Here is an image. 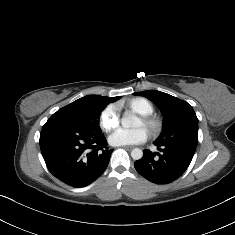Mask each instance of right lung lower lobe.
<instances>
[{
	"label": "right lung lower lobe",
	"instance_id": "98d812e1",
	"mask_svg": "<svg viewBox=\"0 0 235 235\" xmlns=\"http://www.w3.org/2000/svg\"><path fill=\"white\" fill-rule=\"evenodd\" d=\"M40 148L50 173L73 187L95 181L106 170L112 153L102 132L50 118L40 133Z\"/></svg>",
	"mask_w": 235,
	"mask_h": 235
}]
</instances>
